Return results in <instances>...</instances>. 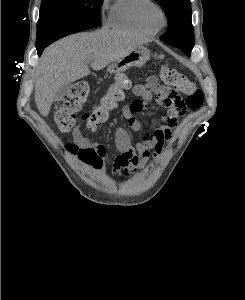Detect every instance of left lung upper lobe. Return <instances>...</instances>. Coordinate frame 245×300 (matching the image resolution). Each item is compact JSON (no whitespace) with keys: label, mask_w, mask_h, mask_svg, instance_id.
Here are the masks:
<instances>
[{"label":"left lung upper lobe","mask_w":245,"mask_h":300,"mask_svg":"<svg viewBox=\"0 0 245 300\" xmlns=\"http://www.w3.org/2000/svg\"><path fill=\"white\" fill-rule=\"evenodd\" d=\"M168 18V29L160 37L172 46L184 45L187 51L194 46V31L191 23L190 0H156Z\"/></svg>","instance_id":"5c2ea615"}]
</instances>
